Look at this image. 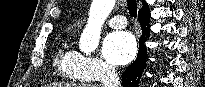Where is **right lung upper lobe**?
Masks as SVG:
<instances>
[{"instance_id": "1", "label": "right lung upper lobe", "mask_w": 205, "mask_h": 87, "mask_svg": "<svg viewBox=\"0 0 205 87\" xmlns=\"http://www.w3.org/2000/svg\"><path fill=\"white\" fill-rule=\"evenodd\" d=\"M143 4L145 5L146 3H145V0H143Z\"/></svg>"}]
</instances>
